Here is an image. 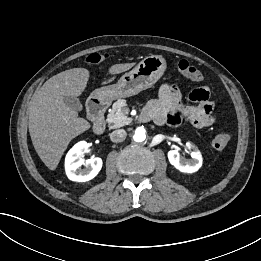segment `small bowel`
<instances>
[{
  "label": "small bowel",
  "mask_w": 261,
  "mask_h": 261,
  "mask_svg": "<svg viewBox=\"0 0 261 261\" xmlns=\"http://www.w3.org/2000/svg\"><path fill=\"white\" fill-rule=\"evenodd\" d=\"M209 96L208 86L202 85L189 93L188 100L193 103H186L176 85L165 83L160 87L158 97L146 105L142 120H153L157 125L188 121L198 128L209 127L216 121L214 103Z\"/></svg>",
  "instance_id": "small-bowel-1"
}]
</instances>
